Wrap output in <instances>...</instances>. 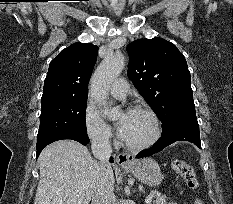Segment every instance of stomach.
<instances>
[{"label": "stomach", "mask_w": 233, "mask_h": 204, "mask_svg": "<svg viewBox=\"0 0 233 204\" xmlns=\"http://www.w3.org/2000/svg\"><path fill=\"white\" fill-rule=\"evenodd\" d=\"M124 169L131 172L140 182L149 186H157L162 181L163 176L160 167L151 158L137 161L131 166H125Z\"/></svg>", "instance_id": "obj_1"}]
</instances>
